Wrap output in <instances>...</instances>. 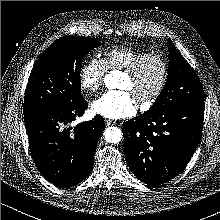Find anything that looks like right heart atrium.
<instances>
[{
  "label": "right heart atrium",
  "mask_w": 220,
  "mask_h": 220,
  "mask_svg": "<svg viewBox=\"0 0 220 220\" xmlns=\"http://www.w3.org/2000/svg\"><path fill=\"white\" fill-rule=\"evenodd\" d=\"M107 71L105 62L97 57L89 58L79 71V84L87 93H97L102 85Z\"/></svg>",
  "instance_id": "d8ad5b80"
}]
</instances>
